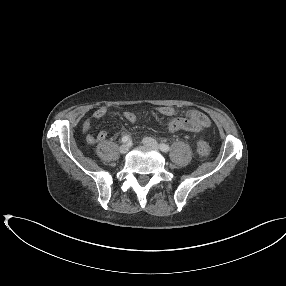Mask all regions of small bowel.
<instances>
[{
  "mask_svg": "<svg viewBox=\"0 0 286 286\" xmlns=\"http://www.w3.org/2000/svg\"><path fill=\"white\" fill-rule=\"evenodd\" d=\"M161 115L169 118L168 129L170 132H199L210 126L209 118L198 110H185L177 111L173 107L162 106L158 108ZM108 110L105 106L96 108L92 114L94 119H101L107 114ZM124 118L134 123L137 120L135 113L131 111H125L123 114ZM91 120L87 119L83 123V131L87 134V142L90 145L96 142H101L106 139L107 132L102 130L96 136L90 133Z\"/></svg>",
  "mask_w": 286,
  "mask_h": 286,
  "instance_id": "1",
  "label": "small bowel"
}]
</instances>
